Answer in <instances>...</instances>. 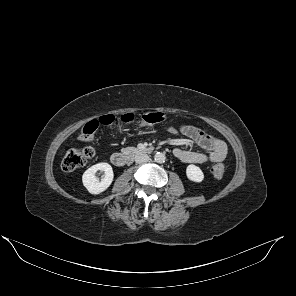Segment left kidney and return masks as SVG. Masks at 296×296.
<instances>
[{"label":"left kidney","mask_w":296,"mask_h":296,"mask_svg":"<svg viewBox=\"0 0 296 296\" xmlns=\"http://www.w3.org/2000/svg\"><path fill=\"white\" fill-rule=\"evenodd\" d=\"M187 178L193 182H202L204 179V174L202 170L193 164L188 165L186 168Z\"/></svg>","instance_id":"5707ae66"}]
</instances>
